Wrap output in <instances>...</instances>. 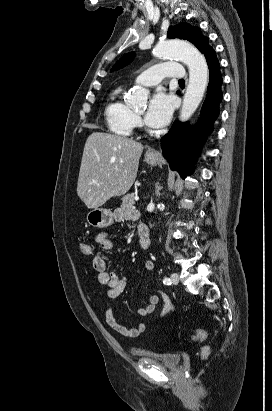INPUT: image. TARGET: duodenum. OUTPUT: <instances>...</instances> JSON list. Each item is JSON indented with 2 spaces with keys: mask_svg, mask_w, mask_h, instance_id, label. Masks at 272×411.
<instances>
[{
  "mask_svg": "<svg viewBox=\"0 0 272 411\" xmlns=\"http://www.w3.org/2000/svg\"><path fill=\"white\" fill-rule=\"evenodd\" d=\"M137 233L140 248L145 252L148 251L151 246V238L148 227L145 224H139L137 227Z\"/></svg>",
  "mask_w": 272,
  "mask_h": 411,
  "instance_id": "obj_1",
  "label": "duodenum"
}]
</instances>
